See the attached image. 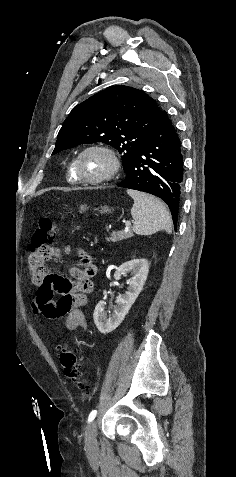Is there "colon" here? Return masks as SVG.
I'll use <instances>...</instances> for the list:
<instances>
[{
  "label": "colon",
  "instance_id": "1",
  "mask_svg": "<svg viewBox=\"0 0 236 477\" xmlns=\"http://www.w3.org/2000/svg\"><path fill=\"white\" fill-rule=\"evenodd\" d=\"M59 229V223L49 218H42L34 229L28 246V263L31 277L34 281L39 280L42 276L43 262L54 254L50 244L58 234ZM59 361L65 376L82 394L86 395L88 393V385L83 378L81 357L75 350L64 346L61 350Z\"/></svg>",
  "mask_w": 236,
  "mask_h": 477
}]
</instances>
